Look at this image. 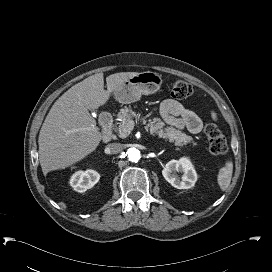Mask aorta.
Wrapping results in <instances>:
<instances>
[{
  "label": "aorta",
  "instance_id": "aorta-1",
  "mask_svg": "<svg viewBox=\"0 0 272 272\" xmlns=\"http://www.w3.org/2000/svg\"><path fill=\"white\" fill-rule=\"evenodd\" d=\"M141 157L140 151L136 148H130L127 151V158L131 162H138Z\"/></svg>",
  "mask_w": 272,
  "mask_h": 272
}]
</instances>
